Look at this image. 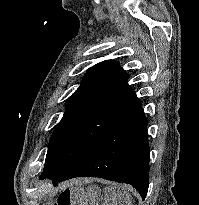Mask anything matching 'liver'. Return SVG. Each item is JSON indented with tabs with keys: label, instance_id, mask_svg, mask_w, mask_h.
<instances>
[{
	"label": "liver",
	"instance_id": "obj_1",
	"mask_svg": "<svg viewBox=\"0 0 199 205\" xmlns=\"http://www.w3.org/2000/svg\"><path fill=\"white\" fill-rule=\"evenodd\" d=\"M101 199V191H99L97 188L91 186L86 189L80 188L74 193L73 205H98ZM104 200L105 202H116L118 200L119 204L121 205L130 204V197L125 190L121 193L115 194L114 196L104 192Z\"/></svg>",
	"mask_w": 199,
	"mask_h": 205
}]
</instances>
